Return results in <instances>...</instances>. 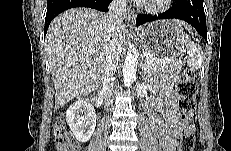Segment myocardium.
<instances>
[{"instance_id": "myocardium-1", "label": "myocardium", "mask_w": 231, "mask_h": 151, "mask_svg": "<svg viewBox=\"0 0 231 151\" xmlns=\"http://www.w3.org/2000/svg\"><path fill=\"white\" fill-rule=\"evenodd\" d=\"M171 3V0H153L149 1L144 5V10L148 13L157 14L160 12L165 11L169 4Z\"/></svg>"}]
</instances>
